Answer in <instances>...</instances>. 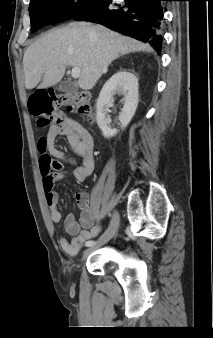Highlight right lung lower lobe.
Wrapping results in <instances>:
<instances>
[{
    "label": "right lung lower lobe",
    "mask_w": 213,
    "mask_h": 338,
    "mask_svg": "<svg viewBox=\"0 0 213 338\" xmlns=\"http://www.w3.org/2000/svg\"><path fill=\"white\" fill-rule=\"evenodd\" d=\"M163 1L168 0H96L72 19L99 23L148 42L160 54Z\"/></svg>",
    "instance_id": "obj_1"
}]
</instances>
